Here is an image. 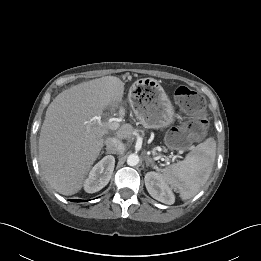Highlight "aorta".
<instances>
[{"mask_svg": "<svg viewBox=\"0 0 261 261\" xmlns=\"http://www.w3.org/2000/svg\"><path fill=\"white\" fill-rule=\"evenodd\" d=\"M139 163V156L136 154H131L127 158V164L129 166H136Z\"/></svg>", "mask_w": 261, "mask_h": 261, "instance_id": "1", "label": "aorta"}]
</instances>
